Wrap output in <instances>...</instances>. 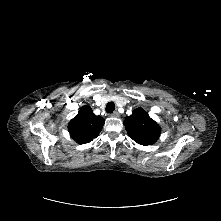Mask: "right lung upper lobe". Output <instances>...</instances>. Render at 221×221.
Returning <instances> with one entry per match:
<instances>
[{"label":"right lung upper lobe","mask_w":221,"mask_h":221,"mask_svg":"<svg viewBox=\"0 0 221 221\" xmlns=\"http://www.w3.org/2000/svg\"><path fill=\"white\" fill-rule=\"evenodd\" d=\"M104 123L105 120L101 116H96L89 106H83L69 122L68 130L74 141L85 144L98 136Z\"/></svg>","instance_id":"1"}]
</instances>
